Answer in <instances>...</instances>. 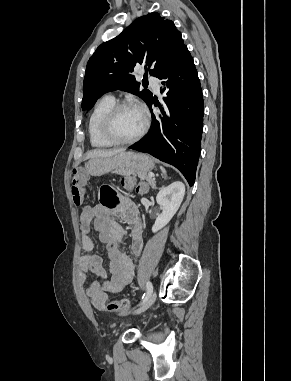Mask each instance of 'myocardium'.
<instances>
[{
    "mask_svg": "<svg viewBox=\"0 0 291 381\" xmlns=\"http://www.w3.org/2000/svg\"><path fill=\"white\" fill-rule=\"evenodd\" d=\"M128 107H137L136 104L130 101H123V102H118L115 103L103 116L101 123H100V132L102 136L112 143L113 145H130L133 143H136L139 141L147 132L148 127H149V121L146 113H143L144 116V122L141 130L139 131L138 134H136L134 137L130 139H119L113 132L112 130V124L113 121L116 117V115L123 109L128 108Z\"/></svg>",
    "mask_w": 291,
    "mask_h": 381,
    "instance_id": "1",
    "label": "myocardium"
}]
</instances>
